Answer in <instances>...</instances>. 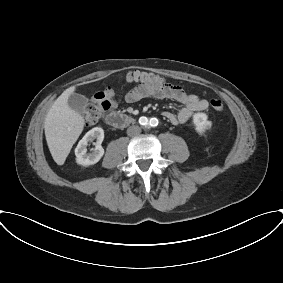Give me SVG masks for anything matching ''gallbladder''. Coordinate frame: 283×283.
<instances>
[{
	"label": "gallbladder",
	"mask_w": 283,
	"mask_h": 283,
	"mask_svg": "<svg viewBox=\"0 0 283 283\" xmlns=\"http://www.w3.org/2000/svg\"><path fill=\"white\" fill-rule=\"evenodd\" d=\"M68 105L74 111L82 114L87 106V98L78 93H72L68 98Z\"/></svg>",
	"instance_id": "bac80fb5"
}]
</instances>
